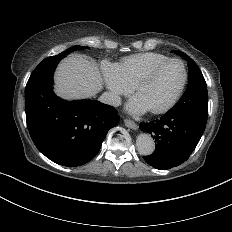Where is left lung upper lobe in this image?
I'll use <instances>...</instances> for the list:
<instances>
[{
	"mask_svg": "<svg viewBox=\"0 0 232 232\" xmlns=\"http://www.w3.org/2000/svg\"><path fill=\"white\" fill-rule=\"evenodd\" d=\"M188 61L189 82L180 101L169 112L190 114L196 119L207 122L208 91L205 79L198 65L184 52L172 51Z\"/></svg>",
	"mask_w": 232,
	"mask_h": 232,
	"instance_id": "obj_1",
	"label": "left lung upper lobe"
}]
</instances>
